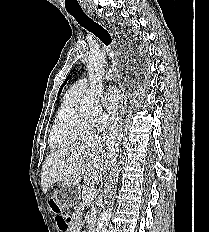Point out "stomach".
<instances>
[{"instance_id": "0dacf381", "label": "stomach", "mask_w": 209, "mask_h": 232, "mask_svg": "<svg viewBox=\"0 0 209 232\" xmlns=\"http://www.w3.org/2000/svg\"><path fill=\"white\" fill-rule=\"evenodd\" d=\"M84 186H76L75 182H62L61 186L55 189V198L57 206L65 209L76 205L77 199H81Z\"/></svg>"}]
</instances>
